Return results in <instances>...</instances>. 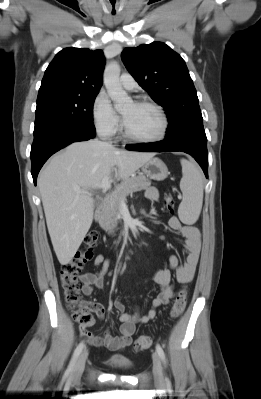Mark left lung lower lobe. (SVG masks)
Listing matches in <instances>:
<instances>
[{"label": "left lung lower lobe", "mask_w": 261, "mask_h": 399, "mask_svg": "<svg viewBox=\"0 0 261 399\" xmlns=\"http://www.w3.org/2000/svg\"><path fill=\"white\" fill-rule=\"evenodd\" d=\"M126 148L142 152H185L190 154L199 163L205 176L208 177L207 137L204 128L189 130L175 138H166L154 143L128 145Z\"/></svg>", "instance_id": "obj_1"}]
</instances>
